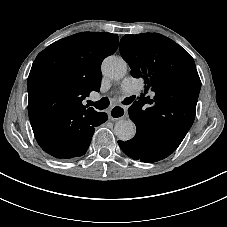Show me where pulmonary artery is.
Here are the masks:
<instances>
[{"instance_id": "e3ab8cb5", "label": "pulmonary artery", "mask_w": 227, "mask_h": 227, "mask_svg": "<svg viewBox=\"0 0 227 227\" xmlns=\"http://www.w3.org/2000/svg\"><path fill=\"white\" fill-rule=\"evenodd\" d=\"M137 87V82L131 77H126L121 83V90L126 93H131Z\"/></svg>"}]
</instances>
